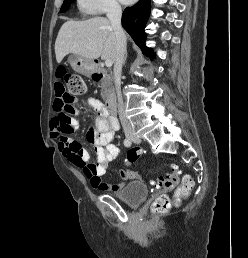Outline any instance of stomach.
<instances>
[{
  "mask_svg": "<svg viewBox=\"0 0 248 258\" xmlns=\"http://www.w3.org/2000/svg\"><path fill=\"white\" fill-rule=\"evenodd\" d=\"M68 61L77 73L91 76L95 72V64L92 60L73 54L69 56Z\"/></svg>",
  "mask_w": 248,
  "mask_h": 258,
  "instance_id": "stomach-1",
  "label": "stomach"
}]
</instances>
